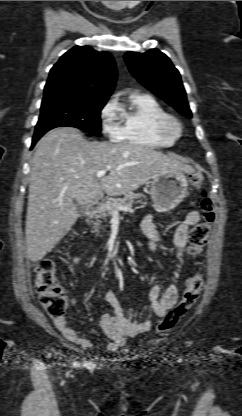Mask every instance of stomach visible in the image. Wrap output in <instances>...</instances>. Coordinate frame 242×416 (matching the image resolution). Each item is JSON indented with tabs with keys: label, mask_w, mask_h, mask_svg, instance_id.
Instances as JSON below:
<instances>
[{
	"label": "stomach",
	"mask_w": 242,
	"mask_h": 416,
	"mask_svg": "<svg viewBox=\"0 0 242 416\" xmlns=\"http://www.w3.org/2000/svg\"><path fill=\"white\" fill-rule=\"evenodd\" d=\"M153 207L158 212H167L178 206L188 193V178L185 172L162 170L149 181Z\"/></svg>",
	"instance_id": "obj_1"
}]
</instances>
